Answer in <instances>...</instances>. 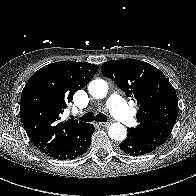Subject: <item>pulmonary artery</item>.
I'll list each match as a JSON object with an SVG mask.
<instances>
[{
    "mask_svg": "<svg viewBox=\"0 0 196 196\" xmlns=\"http://www.w3.org/2000/svg\"><path fill=\"white\" fill-rule=\"evenodd\" d=\"M107 104L113 115L123 124L132 126L135 123L131 110L118 95H111L107 100Z\"/></svg>",
    "mask_w": 196,
    "mask_h": 196,
    "instance_id": "1",
    "label": "pulmonary artery"
}]
</instances>
